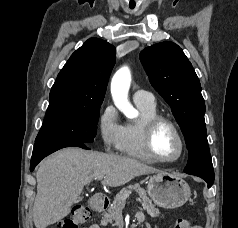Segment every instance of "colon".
I'll list each match as a JSON object with an SVG mask.
<instances>
[{
    "mask_svg": "<svg viewBox=\"0 0 238 228\" xmlns=\"http://www.w3.org/2000/svg\"><path fill=\"white\" fill-rule=\"evenodd\" d=\"M90 217L89 210L83 205H76L72 208L71 214L61 224L60 228H80ZM175 228H200L193 225L190 220L186 218H177Z\"/></svg>",
    "mask_w": 238,
    "mask_h": 228,
    "instance_id": "obj_1",
    "label": "colon"
}]
</instances>
